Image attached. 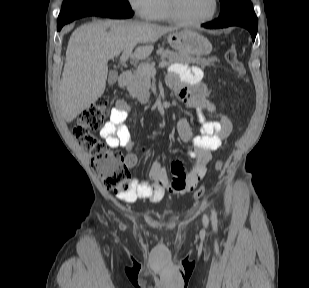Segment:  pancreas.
Wrapping results in <instances>:
<instances>
[{
    "mask_svg": "<svg viewBox=\"0 0 309 288\" xmlns=\"http://www.w3.org/2000/svg\"><path fill=\"white\" fill-rule=\"evenodd\" d=\"M157 54L161 56L162 61H166L168 64L194 63L201 67H206L214 65L216 61L219 62V60H216L215 58L191 57L164 48L157 50ZM146 64L154 66L153 63ZM151 76L152 74L147 70L138 67L134 71L133 79L127 87L129 94L142 104L147 103L150 98Z\"/></svg>",
    "mask_w": 309,
    "mask_h": 288,
    "instance_id": "cf45deb5",
    "label": "pancreas"
}]
</instances>
